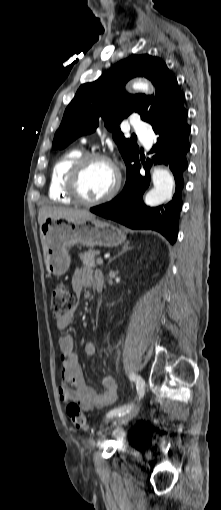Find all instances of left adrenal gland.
Returning <instances> with one entry per match:
<instances>
[{"instance_id": "obj_1", "label": "left adrenal gland", "mask_w": 221, "mask_h": 510, "mask_svg": "<svg viewBox=\"0 0 221 510\" xmlns=\"http://www.w3.org/2000/svg\"><path fill=\"white\" fill-rule=\"evenodd\" d=\"M132 247H129V242H126L123 247H122V251L120 253H118L116 256H114L112 259L109 260L108 262V265L113 261L115 260L117 257L121 256L123 253L131 250Z\"/></svg>"}]
</instances>
